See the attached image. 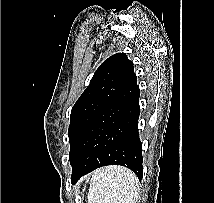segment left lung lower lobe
Here are the masks:
<instances>
[{
    "instance_id": "1",
    "label": "left lung lower lobe",
    "mask_w": 214,
    "mask_h": 203,
    "mask_svg": "<svg viewBox=\"0 0 214 203\" xmlns=\"http://www.w3.org/2000/svg\"><path fill=\"white\" fill-rule=\"evenodd\" d=\"M140 90L136 74L88 128L71 162L72 183L106 165H121L143 175L142 143L138 133Z\"/></svg>"
}]
</instances>
